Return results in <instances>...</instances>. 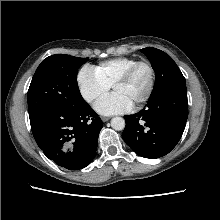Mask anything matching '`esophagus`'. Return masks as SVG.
I'll return each instance as SVG.
<instances>
[{"instance_id":"1","label":"esophagus","mask_w":220,"mask_h":220,"mask_svg":"<svg viewBox=\"0 0 220 220\" xmlns=\"http://www.w3.org/2000/svg\"><path fill=\"white\" fill-rule=\"evenodd\" d=\"M101 119L103 122H107L110 119V117H102Z\"/></svg>"}]
</instances>
